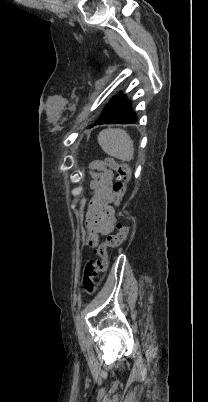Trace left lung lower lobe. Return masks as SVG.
Here are the masks:
<instances>
[{"label": "left lung lower lobe", "instance_id": "left-lung-lower-lobe-1", "mask_svg": "<svg viewBox=\"0 0 208 402\" xmlns=\"http://www.w3.org/2000/svg\"><path fill=\"white\" fill-rule=\"evenodd\" d=\"M137 117L131 110L130 103L124 97L106 115L100 118L96 124H128L135 123Z\"/></svg>", "mask_w": 208, "mask_h": 402}]
</instances>
